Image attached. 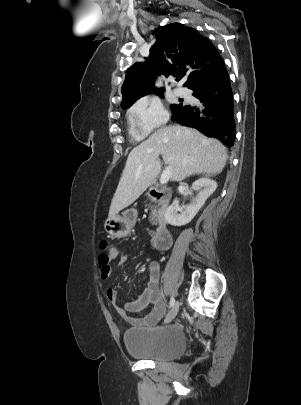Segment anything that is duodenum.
Instances as JSON below:
<instances>
[{
  "label": "duodenum",
  "instance_id": "duodenum-1",
  "mask_svg": "<svg viewBox=\"0 0 301 405\" xmlns=\"http://www.w3.org/2000/svg\"><path fill=\"white\" fill-rule=\"evenodd\" d=\"M150 194L161 207L159 226L154 232L152 242L156 249H167L171 244V235L166 226L165 211L172 198V190L167 187H154L151 189Z\"/></svg>",
  "mask_w": 301,
  "mask_h": 405
}]
</instances>
